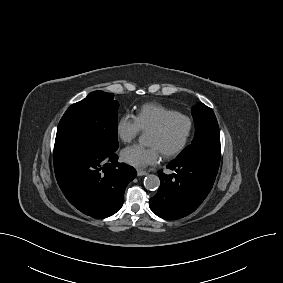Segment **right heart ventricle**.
Returning <instances> with one entry per match:
<instances>
[{
	"mask_svg": "<svg viewBox=\"0 0 283 283\" xmlns=\"http://www.w3.org/2000/svg\"><path fill=\"white\" fill-rule=\"evenodd\" d=\"M174 113H177V111L162 104L147 103L137 110L135 117L141 130L150 131L160 124L166 117Z\"/></svg>",
	"mask_w": 283,
	"mask_h": 283,
	"instance_id": "e07e8e85",
	"label": "right heart ventricle"
}]
</instances>
